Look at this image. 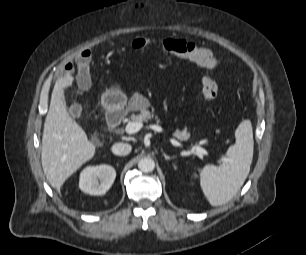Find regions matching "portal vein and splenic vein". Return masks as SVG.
Returning a JSON list of instances; mask_svg holds the SVG:
<instances>
[{
	"label": "portal vein and splenic vein",
	"mask_w": 306,
	"mask_h": 255,
	"mask_svg": "<svg viewBox=\"0 0 306 255\" xmlns=\"http://www.w3.org/2000/svg\"><path fill=\"white\" fill-rule=\"evenodd\" d=\"M142 127H143V125L140 122H129L125 126V132L127 134H134V133H137ZM149 128L156 131V132H160V133L164 132L163 128L159 125H155V124L149 125ZM169 141L174 146H181L182 145L181 143H179L178 141H176L173 138H169ZM192 149L195 150L197 153H199L201 155H206V156L209 155L207 150H205L204 148H202L198 145L193 146Z\"/></svg>",
	"instance_id": "portal-vein-and-splenic-vein-1"
}]
</instances>
